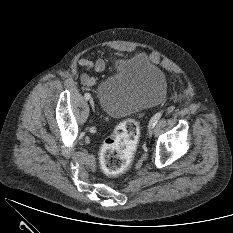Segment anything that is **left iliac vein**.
I'll return each instance as SVG.
<instances>
[{"label":"left iliac vein","instance_id":"left-iliac-vein-1","mask_svg":"<svg viewBox=\"0 0 233 233\" xmlns=\"http://www.w3.org/2000/svg\"><path fill=\"white\" fill-rule=\"evenodd\" d=\"M148 134H149V136H151L153 134V127L152 126H149Z\"/></svg>","mask_w":233,"mask_h":233}]
</instances>
